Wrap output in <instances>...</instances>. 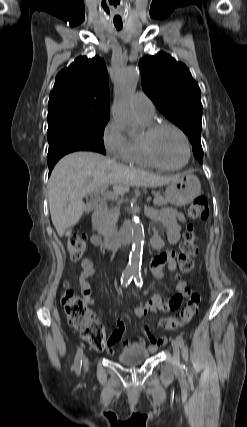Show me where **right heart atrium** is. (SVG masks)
Listing matches in <instances>:
<instances>
[{"mask_svg": "<svg viewBox=\"0 0 247 427\" xmlns=\"http://www.w3.org/2000/svg\"><path fill=\"white\" fill-rule=\"evenodd\" d=\"M102 143L106 152L113 158L127 161L129 139L113 121L107 122L102 131Z\"/></svg>", "mask_w": 247, "mask_h": 427, "instance_id": "right-heart-atrium-1", "label": "right heart atrium"}]
</instances>
